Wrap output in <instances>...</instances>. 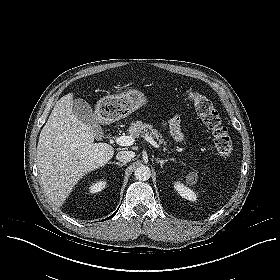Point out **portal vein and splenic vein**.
I'll return each mask as SVG.
<instances>
[{"instance_id":"obj_1","label":"portal vein and splenic vein","mask_w":280,"mask_h":280,"mask_svg":"<svg viewBox=\"0 0 280 280\" xmlns=\"http://www.w3.org/2000/svg\"><path fill=\"white\" fill-rule=\"evenodd\" d=\"M146 141H148L151 145H153L155 148H160V146L157 144V142L154 141L152 137L145 136ZM116 143L120 146H130L134 143V138L132 136H119L115 139Z\"/></svg>"}]
</instances>
